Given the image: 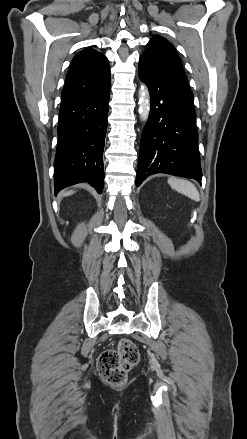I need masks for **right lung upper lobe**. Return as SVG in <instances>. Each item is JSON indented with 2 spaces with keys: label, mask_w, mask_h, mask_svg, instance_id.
Returning <instances> with one entry per match:
<instances>
[{
  "label": "right lung upper lobe",
  "mask_w": 247,
  "mask_h": 439,
  "mask_svg": "<svg viewBox=\"0 0 247 439\" xmlns=\"http://www.w3.org/2000/svg\"><path fill=\"white\" fill-rule=\"evenodd\" d=\"M109 83L110 67L107 58L87 48L76 54L71 61L61 100L97 91Z\"/></svg>",
  "instance_id": "obj_1"
}]
</instances>
